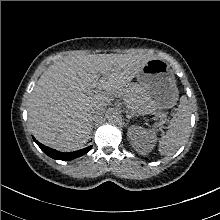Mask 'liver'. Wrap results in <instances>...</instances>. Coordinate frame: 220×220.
I'll return each mask as SVG.
<instances>
[{
  "mask_svg": "<svg viewBox=\"0 0 220 220\" xmlns=\"http://www.w3.org/2000/svg\"><path fill=\"white\" fill-rule=\"evenodd\" d=\"M153 58L142 54H78L50 65L29 99L32 133L39 142L59 151L82 148L92 128L90 112L121 96ZM96 87L98 91L93 92Z\"/></svg>",
  "mask_w": 220,
  "mask_h": 220,
  "instance_id": "obj_1",
  "label": "liver"
}]
</instances>
